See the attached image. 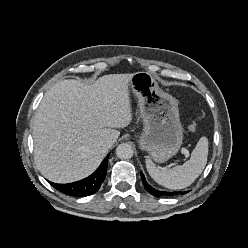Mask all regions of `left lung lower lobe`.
I'll list each match as a JSON object with an SVG mask.
<instances>
[{
  "label": "left lung lower lobe",
  "mask_w": 248,
  "mask_h": 248,
  "mask_svg": "<svg viewBox=\"0 0 248 248\" xmlns=\"http://www.w3.org/2000/svg\"><path fill=\"white\" fill-rule=\"evenodd\" d=\"M141 178H142V181H143V184H144V187L145 189L150 193L152 194L153 196H156V197H161V196H173V195H178V194H184V192L182 191H179V192H166V191H159V190H156L154 189L153 187H151L146 179H145V176L144 174L141 172Z\"/></svg>",
  "instance_id": "obj_1"
}]
</instances>
